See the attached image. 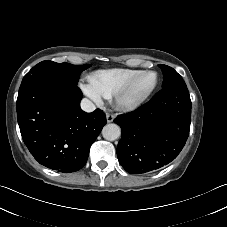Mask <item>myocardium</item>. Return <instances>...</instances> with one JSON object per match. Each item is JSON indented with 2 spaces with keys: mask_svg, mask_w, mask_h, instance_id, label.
Instances as JSON below:
<instances>
[{
  "mask_svg": "<svg viewBox=\"0 0 227 227\" xmlns=\"http://www.w3.org/2000/svg\"><path fill=\"white\" fill-rule=\"evenodd\" d=\"M154 74L155 81L153 85L150 87V89L141 97L135 100H129L128 97L134 88L136 82L146 74ZM158 85V73L154 70H144L138 73L136 76H134L124 87H122L115 95H114V101L116 106L124 111H132L137 108H139L141 105H143L148 98L152 95L154 90L156 89Z\"/></svg>",
  "mask_w": 227,
  "mask_h": 227,
  "instance_id": "obj_1",
  "label": "myocardium"
}]
</instances>
